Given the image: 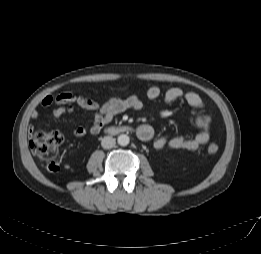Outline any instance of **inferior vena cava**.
Instances as JSON below:
<instances>
[{"mask_svg":"<svg viewBox=\"0 0 261 254\" xmlns=\"http://www.w3.org/2000/svg\"><path fill=\"white\" fill-rule=\"evenodd\" d=\"M115 144L116 140L111 136H105L101 141V145L104 149H111L115 146Z\"/></svg>","mask_w":261,"mask_h":254,"instance_id":"1","label":"inferior vena cava"}]
</instances>
